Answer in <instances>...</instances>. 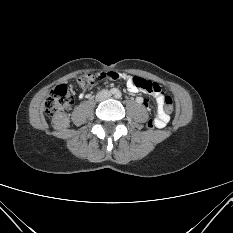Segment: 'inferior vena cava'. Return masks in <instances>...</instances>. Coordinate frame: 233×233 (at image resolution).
<instances>
[{
    "label": "inferior vena cava",
    "instance_id": "obj_1",
    "mask_svg": "<svg viewBox=\"0 0 233 233\" xmlns=\"http://www.w3.org/2000/svg\"><path fill=\"white\" fill-rule=\"evenodd\" d=\"M110 97V93L108 91H102L97 95L98 100H105Z\"/></svg>",
    "mask_w": 233,
    "mask_h": 233
}]
</instances>
